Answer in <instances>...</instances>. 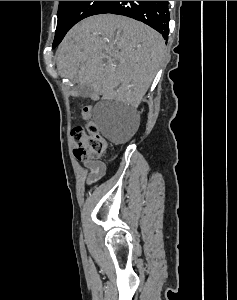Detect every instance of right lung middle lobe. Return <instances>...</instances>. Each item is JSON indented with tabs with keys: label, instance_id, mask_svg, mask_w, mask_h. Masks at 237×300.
<instances>
[{
	"label": "right lung middle lobe",
	"instance_id": "1",
	"mask_svg": "<svg viewBox=\"0 0 237 300\" xmlns=\"http://www.w3.org/2000/svg\"><path fill=\"white\" fill-rule=\"evenodd\" d=\"M108 1H60L58 23L53 42L55 48L65 34L80 20L95 15Z\"/></svg>",
	"mask_w": 237,
	"mask_h": 300
}]
</instances>
